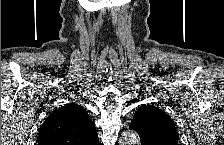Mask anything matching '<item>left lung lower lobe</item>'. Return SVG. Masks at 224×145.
<instances>
[{
  "label": "left lung lower lobe",
  "mask_w": 224,
  "mask_h": 145,
  "mask_svg": "<svg viewBox=\"0 0 224 145\" xmlns=\"http://www.w3.org/2000/svg\"><path fill=\"white\" fill-rule=\"evenodd\" d=\"M130 129L135 130L138 133L136 124H130ZM139 136H140L141 145H154L153 142H151L150 140L146 139L143 135L139 134Z\"/></svg>",
  "instance_id": "1"
}]
</instances>
